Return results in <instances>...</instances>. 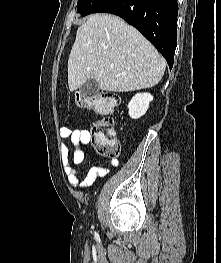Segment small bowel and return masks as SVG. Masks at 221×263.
<instances>
[{
	"label": "small bowel",
	"instance_id": "obj_1",
	"mask_svg": "<svg viewBox=\"0 0 221 263\" xmlns=\"http://www.w3.org/2000/svg\"><path fill=\"white\" fill-rule=\"evenodd\" d=\"M59 134L61 138L68 139L70 145L74 147L71 159L69 157L70 148L68 145L63 144L60 150L65 161V172L71 186L75 188H88L97 178L108 175V168L93 166L88 169L85 176L81 180L82 174L75 168L76 165H79L84 161L85 153L79 148V146L88 145L90 143L91 137L88 130L62 127L60 128ZM118 164L119 162L116 159L109 161V166L112 168H116Z\"/></svg>",
	"mask_w": 221,
	"mask_h": 263
}]
</instances>
